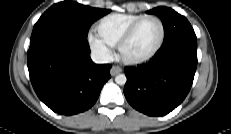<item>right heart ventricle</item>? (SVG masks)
<instances>
[{
  "instance_id": "obj_1",
  "label": "right heart ventricle",
  "mask_w": 231,
  "mask_h": 134,
  "mask_svg": "<svg viewBox=\"0 0 231 134\" xmlns=\"http://www.w3.org/2000/svg\"><path fill=\"white\" fill-rule=\"evenodd\" d=\"M143 16L129 13L110 14L99 20L96 30L106 43L116 46L128 28Z\"/></svg>"
}]
</instances>
